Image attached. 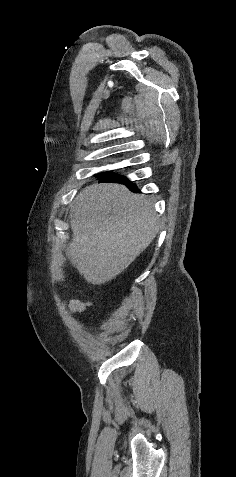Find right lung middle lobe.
Here are the masks:
<instances>
[{"label": "right lung middle lobe", "instance_id": "obj_1", "mask_svg": "<svg viewBox=\"0 0 236 477\" xmlns=\"http://www.w3.org/2000/svg\"><path fill=\"white\" fill-rule=\"evenodd\" d=\"M110 175H112L111 172H110V173H108V172H103V173H100L99 175H97V178H98V179H101V178H105V177L110 176Z\"/></svg>", "mask_w": 236, "mask_h": 477}]
</instances>
